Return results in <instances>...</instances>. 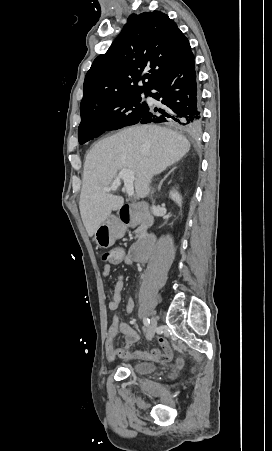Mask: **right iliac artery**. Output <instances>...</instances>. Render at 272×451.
I'll return each instance as SVG.
<instances>
[{
  "label": "right iliac artery",
  "mask_w": 272,
  "mask_h": 451,
  "mask_svg": "<svg viewBox=\"0 0 272 451\" xmlns=\"http://www.w3.org/2000/svg\"><path fill=\"white\" fill-rule=\"evenodd\" d=\"M143 323H144L145 327H149V325H150V319H149V318H144V319H143Z\"/></svg>",
  "instance_id": "obj_1"
}]
</instances>
